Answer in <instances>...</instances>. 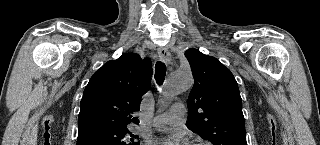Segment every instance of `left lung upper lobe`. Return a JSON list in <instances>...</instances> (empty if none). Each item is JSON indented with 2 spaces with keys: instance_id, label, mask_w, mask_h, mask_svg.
<instances>
[{
  "instance_id": "left-lung-upper-lobe-1",
  "label": "left lung upper lobe",
  "mask_w": 320,
  "mask_h": 145,
  "mask_svg": "<svg viewBox=\"0 0 320 145\" xmlns=\"http://www.w3.org/2000/svg\"><path fill=\"white\" fill-rule=\"evenodd\" d=\"M185 56L194 77L187 127L213 145H247L242 99L233 74L215 57L195 48Z\"/></svg>"
}]
</instances>
